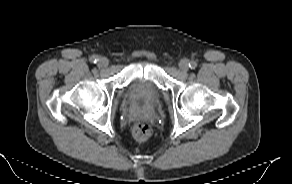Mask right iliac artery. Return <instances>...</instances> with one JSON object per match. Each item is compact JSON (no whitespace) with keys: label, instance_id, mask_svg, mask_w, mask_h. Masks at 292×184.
I'll return each instance as SVG.
<instances>
[{"label":"right iliac artery","instance_id":"1","mask_svg":"<svg viewBox=\"0 0 292 184\" xmlns=\"http://www.w3.org/2000/svg\"><path fill=\"white\" fill-rule=\"evenodd\" d=\"M90 61L92 62V63H96L97 61H98V58H97V56H92L91 58H90Z\"/></svg>","mask_w":292,"mask_h":184}]
</instances>
